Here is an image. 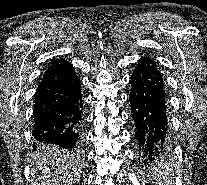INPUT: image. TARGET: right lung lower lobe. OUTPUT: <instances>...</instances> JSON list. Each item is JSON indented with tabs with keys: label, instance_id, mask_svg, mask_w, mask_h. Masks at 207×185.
<instances>
[{
	"label": "right lung lower lobe",
	"instance_id": "obj_1",
	"mask_svg": "<svg viewBox=\"0 0 207 185\" xmlns=\"http://www.w3.org/2000/svg\"><path fill=\"white\" fill-rule=\"evenodd\" d=\"M81 84L73 73L38 86L35 93L33 138L38 143L77 149L84 112ZM36 149V145H33Z\"/></svg>",
	"mask_w": 207,
	"mask_h": 185
}]
</instances>
